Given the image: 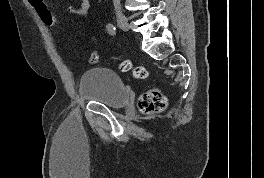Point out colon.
<instances>
[{
    "label": "colon",
    "mask_w": 264,
    "mask_h": 178,
    "mask_svg": "<svg viewBox=\"0 0 264 178\" xmlns=\"http://www.w3.org/2000/svg\"><path fill=\"white\" fill-rule=\"evenodd\" d=\"M30 6L37 14L40 21L47 27H57L58 21L52 14L48 5L44 0H28ZM100 55L97 52H92L88 57V62L95 64L99 62ZM123 72H131L137 79H146L148 71L142 66H133L131 62L124 61L121 64ZM167 106V99L164 94L157 88H153L144 92L138 99V107L145 114H154L162 112Z\"/></svg>",
    "instance_id": "5ec220e1"
}]
</instances>
